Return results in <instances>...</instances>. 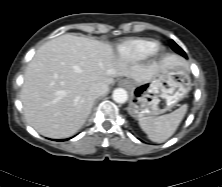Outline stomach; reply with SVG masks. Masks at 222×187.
Segmentation results:
<instances>
[{"instance_id": "stomach-1", "label": "stomach", "mask_w": 222, "mask_h": 187, "mask_svg": "<svg viewBox=\"0 0 222 187\" xmlns=\"http://www.w3.org/2000/svg\"><path fill=\"white\" fill-rule=\"evenodd\" d=\"M129 114L141 120L170 111L191 89L186 66L172 65L160 69L149 81L130 82Z\"/></svg>"}]
</instances>
